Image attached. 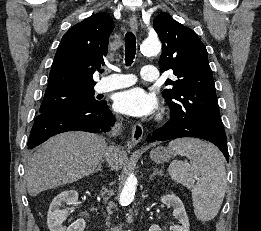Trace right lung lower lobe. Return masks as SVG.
I'll list each match as a JSON object with an SVG mask.
<instances>
[{"instance_id":"right-lung-lower-lobe-1","label":"right lung lower lobe","mask_w":261,"mask_h":231,"mask_svg":"<svg viewBox=\"0 0 261 231\" xmlns=\"http://www.w3.org/2000/svg\"><path fill=\"white\" fill-rule=\"evenodd\" d=\"M115 118L105 101L86 107H69L40 114L29 135L28 148L33 149L48 138L66 131L97 133L109 131Z\"/></svg>"}]
</instances>
